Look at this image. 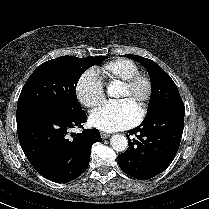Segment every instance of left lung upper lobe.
I'll return each instance as SVG.
<instances>
[{"mask_svg": "<svg viewBox=\"0 0 209 209\" xmlns=\"http://www.w3.org/2000/svg\"><path fill=\"white\" fill-rule=\"evenodd\" d=\"M125 57L134 59L143 65L151 78L152 97L145 118L151 117L162 110L184 108L176 84L158 64L137 55H125Z\"/></svg>", "mask_w": 209, "mask_h": 209, "instance_id": "obj_1", "label": "left lung upper lobe"}]
</instances>
